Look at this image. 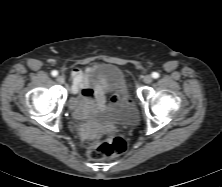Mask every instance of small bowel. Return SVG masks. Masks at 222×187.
I'll return each instance as SVG.
<instances>
[{
    "label": "small bowel",
    "mask_w": 222,
    "mask_h": 187,
    "mask_svg": "<svg viewBox=\"0 0 222 187\" xmlns=\"http://www.w3.org/2000/svg\"><path fill=\"white\" fill-rule=\"evenodd\" d=\"M71 77L73 80L72 92L79 94L85 104L99 107L105 104L108 96V89L106 87L90 85L85 73L79 69H74Z\"/></svg>",
    "instance_id": "small-bowel-1"
}]
</instances>
